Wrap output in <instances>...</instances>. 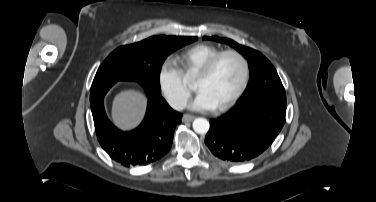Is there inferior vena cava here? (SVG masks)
I'll use <instances>...</instances> for the list:
<instances>
[{"label": "inferior vena cava", "mask_w": 376, "mask_h": 202, "mask_svg": "<svg viewBox=\"0 0 376 202\" xmlns=\"http://www.w3.org/2000/svg\"><path fill=\"white\" fill-rule=\"evenodd\" d=\"M169 105L175 110H183L186 108L187 99L181 96L170 98L168 100Z\"/></svg>", "instance_id": "1"}]
</instances>
